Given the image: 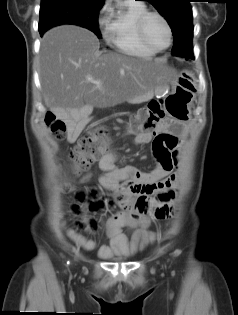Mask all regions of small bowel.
I'll use <instances>...</instances> for the list:
<instances>
[{
    "mask_svg": "<svg viewBox=\"0 0 238 315\" xmlns=\"http://www.w3.org/2000/svg\"><path fill=\"white\" fill-rule=\"evenodd\" d=\"M94 126L95 122L87 119L73 120L69 123L68 139L73 142L80 131L86 126ZM139 133L134 136L133 144L144 145L148 143L152 147L157 166L150 172H143L133 166L117 167V152H106L99 164L103 170L100 176L102 185L113 189L116 200L123 207L110 221L106 233L110 238L109 245L100 246L98 253L103 258H111L115 255H131L156 239L155 233L146 230L149 225L147 217L150 212L155 218L166 219L171 217L172 208L163 206L148 209L147 198L156 191H168L177 182V175L171 173L179 165L178 147H182V140H176L168 134ZM92 174L85 171L79 175L78 180L85 183L90 180ZM171 192L160 196L163 201L169 200ZM136 196V197H135ZM125 226L136 228L131 238H128L122 229ZM67 235L74 243L86 250L96 248V242L88 240L76 231L68 229Z\"/></svg>",
    "mask_w": 238,
    "mask_h": 315,
    "instance_id": "1",
    "label": "small bowel"
}]
</instances>
